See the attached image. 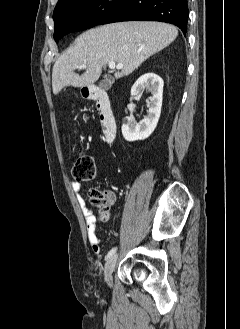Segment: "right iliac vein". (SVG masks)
Returning a JSON list of instances; mask_svg holds the SVG:
<instances>
[{
    "instance_id": "63e3f726",
    "label": "right iliac vein",
    "mask_w": 240,
    "mask_h": 329,
    "mask_svg": "<svg viewBox=\"0 0 240 329\" xmlns=\"http://www.w3.org/2000/svg\"><path fill=\"white\" fill-rule=\"evenodd\" d=\"M117 258H118V256L114 255V256L110 257L105 264L104 275H105V280L108 285L112 284V273L115 269V266L117 263Z\"/></svg>"
}]
</instances>
